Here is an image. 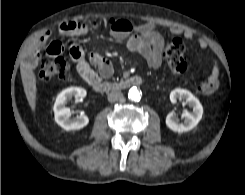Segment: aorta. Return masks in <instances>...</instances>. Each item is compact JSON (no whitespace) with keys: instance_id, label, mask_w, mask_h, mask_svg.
<instances>
[{"instance_id":"aorta-1","label":"aorta","mask_w":245,"mask_h":195,"mask_svg":"<svg viewBox=\"0 0 245 195\" xmlns=\"http://www.w3.org/2000/svg\"><path fill=\"white\" fill-rule=\"evenodd\" d=\"M128 98L131 101L139 102L141 99L139 90L136 87H132L128 92Z\"/></svg>"}]
</instances>
